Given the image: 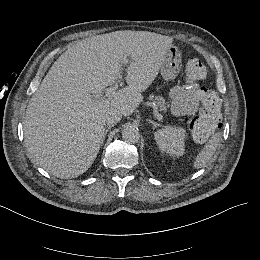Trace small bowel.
Segmentation results:
<instances>
[{"mask_svg": "<svg viewBox=\"0 0 260 260\" xmlns=\"http://www.w3.org/2000/svg\"><path fill=\"white\" fill-rule=\"evenodd\" d=\"M210 93L207 88L191 84L174 86L169 91L171 112L175 116H190L200 110L206 109Z\"/></svg>", "mask_w": 260, "mask_h": 260, "instance_id": "1", "label": "small bowel"}]
</instances>
